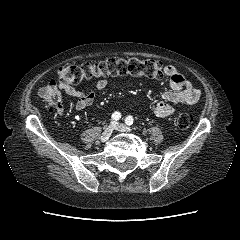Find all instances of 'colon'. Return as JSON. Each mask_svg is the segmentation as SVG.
<instances>
[{"instance_id": "obj_1", "label": "colon", "mask_w": 240, "mask_h": 240, "mask_svg": "<svg viewBox=\"0 0 240 240\" xmlns=\"http://www.w3.org/2000/svg\"><path fill=\"white\" fill-rule=\"evenodd\" d=\"M125 75L162 79L165 75V67L162 62L154 59L116 57L96 62L65 65L59 68L57 81L50 80L40 89L39 96L50 111H59L62 107L59 86H73L92 78ZM175 123L179 128L186 129L192 123V116L188 113H179L175 118Z\"/></svg>"}]
</instances>
